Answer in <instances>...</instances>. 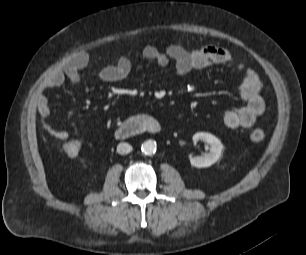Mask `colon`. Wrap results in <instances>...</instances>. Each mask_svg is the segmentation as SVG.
<instances>
[{"label":"colon","mask_w":306,"mask_h":255,"mask_svg":"<svg viewBox=\"0 0 306 255\" xmlns=\"http://www.w3.org/2000/svg\"><path fill=\"white\" fill-rule=\"evenodd\" d=\"M250 137L253 141H262L265 138V131L262 128H255L251 131ZM62 149L69 157H75L79 154L81 143L78 140H71L63 144Z\"/></svg>","instance_id":"colon-1"}]
</instances>
